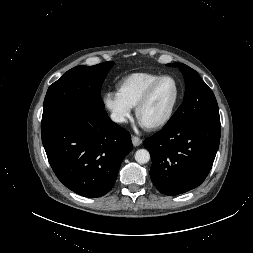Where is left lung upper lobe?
<instances>
[{
  "label": "left lung upper lobe",
  "instance_id": "left-lung-upper-lobe-1",
  "mask_svg": "<svg viewBox=\"0 0 253 253\" xmlns=\"http://www.w3.org/2000/svg\"><path fill=\"white\" fill-rule=\"evenodd\" d=\"M184 75L186 87L184 101L163 128H173L186 122L209 119L220 121L216 98L198 73L182 63H170Z\"/></svg>",
  "mask_w": 253,
  "mask_h": 253
}]
</instances>
